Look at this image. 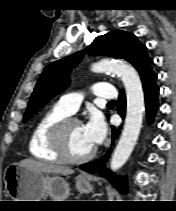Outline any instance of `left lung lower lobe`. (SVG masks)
I'll use <instances>...</instances> for the list:
<instances>
[{"label":"left lung lower lobe","instance_id":"left-lung-lower-lobe-1","mask_svg":"<svg viewBox=\"0 0 176 211\" xmlns=\"http://www.w3.org/2000/svg\"><path fill=\"white\" fill-rule=\"evenodd\" d=\"M156 78H157V75H154L151 78H147L146 80L142 81L144 94H145L146 111H147L148 120L150 122L153 120L156 110L158 108L159 88L155 83ZM125 107H126L125 94H124V91L121 90L120 96L118 99L117 109H118V113L121 115L122 118H124ZM116 136H117V132L115 131V128L113 127V138H115ZM109 154H110V150L107 152L105 156H103L99 160H95L93 162L83 164L80 166V168L91 173L98 172L101 176L108 177L107 170L105 169V163ZM109 179L111 183L113 184V186H115L121 192L126 193L127 183L125 179L114 178L112 173L110 174Z\"/></svg>","mask_w":176,"mask_h":211}]
</instances>
